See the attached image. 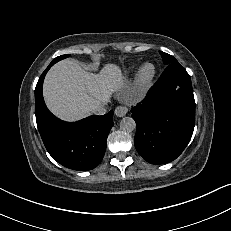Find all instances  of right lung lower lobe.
<instances>
[{"label":"right lung lower lobe","mask_w":231,"mask_h":231,"mask_svg":"<svg viewBox=\"0 0 231 231\" xmlns=\"http://www.w3.org/2000/svg\"><path fill=\"white\" fill-rule=\"evenodd\" d=\"M53 60L42 73L35 88V115L37 127L49 154L61 165L79 171L97 167L106 151V141L113 126V111L93 115L77 122H64L46 107L42 85Z\"/></svg>","instance_id":"right-lung-lower-lobe-1"}]
</instances>
